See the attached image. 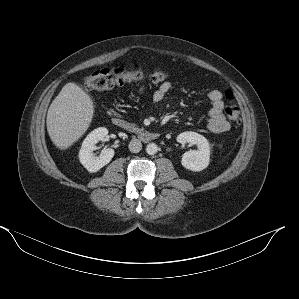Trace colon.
Returning a JSON list of instances; mask_svg holds the SVG:
<instances>
[{"instance_id": "obj_1", "label": "colon", "mask_w": 299, "mask_h": 299, "mask_svg": "<svg viewBox=\"0 0 299 299\" xmlns=\"http://www.w3.org/2000/svg\"><path fill=\"white\" fill-rule=\"evenodd\" d=\"M167 76L166 71L161 68L114 67L93 72L85 78L84 85L89 90L104 91L138 79H149L158 83L164 81ZM225 98L229 102L234 101V93L231 89L225 91ZM225 113L230 120L237 121L240 109L236 104L230 103L226 107Z\"/></svg>"}]
</instances>
